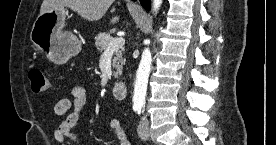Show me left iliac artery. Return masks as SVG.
I'll list each match as a JSON object with an SVG mask.
<instances>
[{"label":"left iliac artery","mask_w":276,"mask_h":145,"mask_svg":"<svg viewBox=\"0 0 276 145\" xmlns=\"http://www.w3.org/2000/svg\"><path fill=\"white\" fill-rule=\"evenodd\" d=\"M135 111H137L138 114H140L141 113V108H136Z\"/></svg>","instance_id":"44dca946"}]
</instances>
